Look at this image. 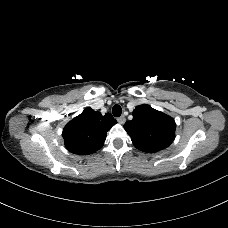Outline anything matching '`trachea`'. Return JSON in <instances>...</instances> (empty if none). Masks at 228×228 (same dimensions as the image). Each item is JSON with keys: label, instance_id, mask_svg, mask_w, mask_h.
<instances>
[{"label": "trachea", "instance_id": "obj_1", "mask_svg": "<svg viewBox=\"0 0 228 228\" xmlns=\"http://www.w3.org/2000/svg\"><path fill=\"white\" fill-rule=\"evenodd\" d=\"M112 113L115 117H120L122 113V109L119 105H114L112 109Z\"/></svg>", "mask_w": 228, "mask_h": 228}]
</instances>
